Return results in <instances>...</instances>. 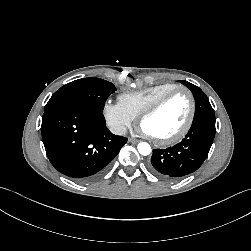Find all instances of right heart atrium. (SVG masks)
Listing matches in <instances>:
<instances>
[{"mask_svg": "<svg viewBox=\"0 0 251 251\" xmlns=\"http://www.w3.org/2000/svg\"><path fill=\"white\" fill-rule=\"evenodd\" d=\"M103 116L110 129L116 134H124L134 122V118L119 102L107 101L103 106Z\"/></svg>", "mask_w": 251, "mask_h": 251, "instance_id": "d8ad5b80", "label": "right heart atrium"}]
</instances>
